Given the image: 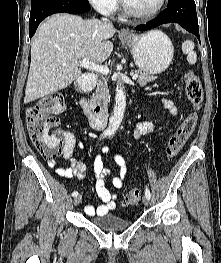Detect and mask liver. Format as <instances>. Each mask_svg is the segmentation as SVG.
I'll return each instance as SVG.
<instances>
[{
  "label": "liver",
  "instance_id": "6515ba94",
  "mask_svg": "<svg viewBox=\"0 0 221 263\" xmlns=\"http://www.w3.org/2000/svg\"><path fill=\"white\" fill-rule=\"evenodd\" d=\"M116 29L98 19L56 14L40 25L31 46V63L24 103L69 86L81 75L78 60L100 64L113 51Z\"/></svg>",
  "mask_w": 221,
  "mask_h": 263
}]
</instances>
